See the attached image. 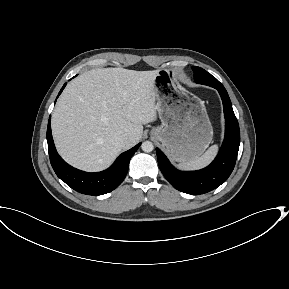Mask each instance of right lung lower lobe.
I'll use <instances>...</instances> for the list:
<instances>
[{
  "label": "right lung lower lobe",
  "instance_id": "98d812e1",
  "mask_svg": "<svg viewBox=\"0 0 289 289\" xmlns=\"http://www.w3.org/2000/svg\"><path fill=\"white\" fill-rule=\"evenodd\" d=\"M64 86L59 92H62ZM47 142L51 165L57 176L75 191L87 195H102L113 191L124 180L131 157L140 143L122 153L113 165L105 171L88 173L68 165L57 153L51 134L50 119L47 127Z\"/></svg>",
  "mask_w": 289,
  "mask_h": 289
}]
</instances>
